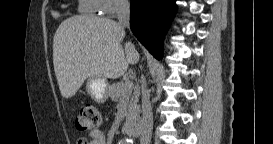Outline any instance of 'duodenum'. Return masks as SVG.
Segmentation results:
<instances>
[{"mask_svg":"<svg viewBox=\"0 0 273 144\" xmlns=\"http://www.w3.org/2000/svg\"><path fill=\"white\" fill-rule=\"evenodd\" d=\"M124 129L128 135H131L133 137H137L141 133L140 126L138 122L136 121H130V122L126 121L124 123Z\"/></svg>","mask_w":273,"mask_h":144,"instance_id":"410a0bca","label":"duodenum"}]
</instances>
